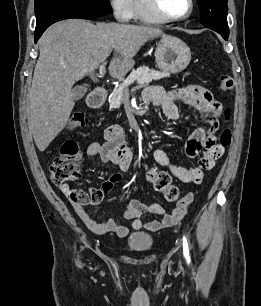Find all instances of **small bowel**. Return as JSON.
<instances>
[{
	"label": "small bowel",
	"mask_w": 261,
	"mask_h": 306,
	"mask_svg": "<svg viewBox=\"0 0 261 306\" xmlns=\"http://www.w3.org/2000/svg\"><path fill=\"white\" fill-rule=\"evenodd\" d=\"M146 102H151L159 106L165 116L171 120L179 118L178 103L193 107L198 111L207 128L195 130L185 144L188 156L195 157L203 151L197 167H183L175 164L162 149H155L153 152L154 160L161 166L168 169L169 173L176 179L184 183L200 184L204 178V171L211 170L216 161L223 155L224 148L216 143L215 133L219 128V119L222 113V105L218 102L211 92L198 85H186L165 91L160 86H153L146 89L144 93ZM104 137L106 142H93L87 147V155L100 157L104 162L116 165L122 172H127L131 166L133 152L126 143L122 129L117 125L106 128ZM119 179L118 175L106 181L101 188L104 196L112 184ZM69 196V191L62 189ZM194 199V194L189 192L181 198L172 212L166 213L163 207L157 203L144 204L137 199H131L127 203L123 217L131 220L133 230L147 229L157 231L164 227L178 224L188 213L189 207ZM75 212L83 223L94 233L107 234L114 233L118 237H126L130 229L118 224L114 219L100 222L91 217L84 209L83 205L73 202ZM144 214L160 215L161 219L143 223L141 217Z\"/></svg>",
	"instance_id": "c3829d8e"
}]
</instances>
